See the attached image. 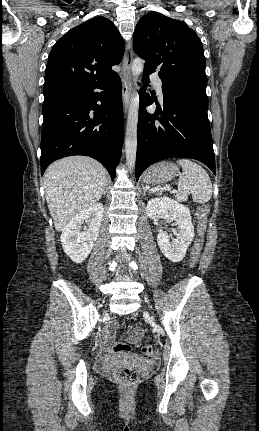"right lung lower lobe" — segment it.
I'll return each instance as SVG.
<instances>
[{
  "instance_id": "98d812e1",
  "label": "right lung lower lobe",
  "mask_w": 259,
  "mask_h": 431,
  "mask_svg": "<svg viewBox=\"0 0 259 431\" xmlns=\"http://www.w3.org/2000/svg\"><path fill=\"white\" fill-rule=\"evenodd\" d=\"M123 135L122 85L117 74L103 82L44 94L41 174L57 159L85 155L101 162L114 180Z\"/></svg>"
}]
</instances>
